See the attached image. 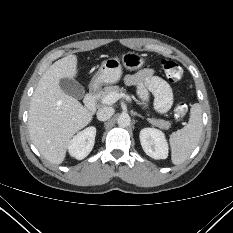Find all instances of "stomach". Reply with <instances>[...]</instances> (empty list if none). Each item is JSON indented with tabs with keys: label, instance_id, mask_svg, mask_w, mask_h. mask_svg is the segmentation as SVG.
Here are the masks:
<instances>
[{
	"label": "stomach",
	"instance_id": "stomach-1",
	"mask_svg": "<svg viewBox=\"0 0 233 233\" xmlns=\"http://www.w3.org/2000/svg\"><path fill=\"white\" fill-rule=\"evenodd\" d=\"M122 63L129 71L140 69L145 61L138 53L128 52L122 55ZM122 75V66L118 58H109L101 64L92 78V86L98 88L103 84L117 83Z\"/></svg>",
	"mask_w": 233,
	"mask_h": 233
}]
</instances>
